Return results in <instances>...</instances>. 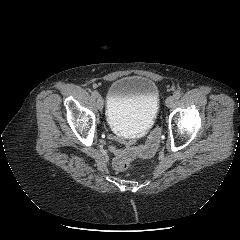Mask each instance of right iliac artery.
Wrapping results in <instances>:
<instances>
[{
	"label": "right iliac artery",
	"mask_w": 240,
	"mask_h": 240,
	"mask_svg": "<svg viewBox=\"0 0 240 240\" xmlns=\"http://www.w3.org/2000/svg\"><path fill=\"white\" fill-rule=\"evenodd\" d=\"M92 96H93L94 98H98L99 93H98L97 91H93V92H92Z\"/></svg>",
	"instance_id": "obj_1"
}]
</instances>
